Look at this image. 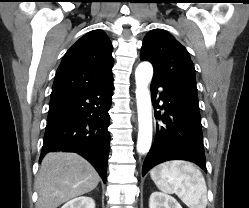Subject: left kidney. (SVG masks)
<instances>
[{
  "mask_svg": "<svg viewBox=\"0 0 249 208\" xmlns=\"http://www.w3.org/2000/svg\"><path fill=\"white\" fill-rule=\"evenodd\" d=\"M149 208H182V206L174 197L155 191L150 196Z\"/></svg>",
  "mask_w": 249,
  "mask_h": 208,
  "instance_id": "5707ae66",
  "label": "left kidney"
}]
</instances>
